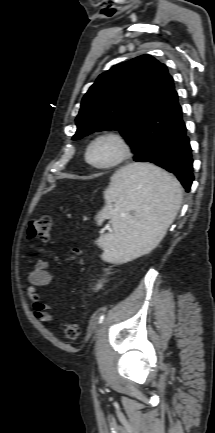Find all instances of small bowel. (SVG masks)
<instances>
[{"label":"small bowel","mask_w":215,"mask_h":433,"mask_svg":"<svg viewBox=\"0 0 215 433\" xmlns=\"http://www.w3.org/2000/svg\"><path fill=\"white\" fill-rule=\"evenodd\" d=\"M49 268L50 265L47 261L38 259L28 275L29 288L27 289V295L33 305L36 319L42 323H50L53 320L52 315L49 313V305L42 300L38 292V288L46 287L53 281Z\"/></svg>","instance_id":"c3829d8e"}]
</instances>
